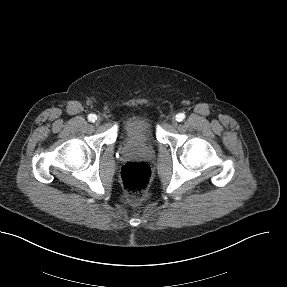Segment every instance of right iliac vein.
I'll use <instances>...</instances> for the list:
<instances>
[{
  "label": "right iliac vein",
  "instance_id": "right-iliac-vein-1",
  "mask_svg": "<svg viewBox=\"0 0 287 287\" xmlns=\"http://www.w3.org/2000/svg\"><path fill=\"white\" fill-rule=\"evenodd\" d=\"M100 122H101V118H100V117H98V118L96 119V124H97V125H99V124H100Z\"/></svg>",
  "mask_w": 287,
  "mask_h": 287
}]
</instances>
